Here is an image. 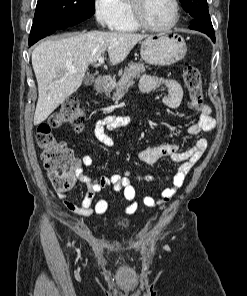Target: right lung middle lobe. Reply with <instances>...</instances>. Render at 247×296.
I'll return each mask as SVG.
<instances>
[{
	"label": "right lung middle lobe",
	"instance_id": "right-lung-middle-lobe-1",
	"mask_svg": "<svg viewBox=\"0 0 247 296\" xmlns=\"http://www.w3.org/2000/svg\"><path fill=\"white\" fill-rule=\"evenodd\" d=\"M95 0H38L30 35L40 37L48 28L78 24L95 12Z\"/></svg>",
	"mask_w": 247,
	"mask_h": 296
}]
</instances>
